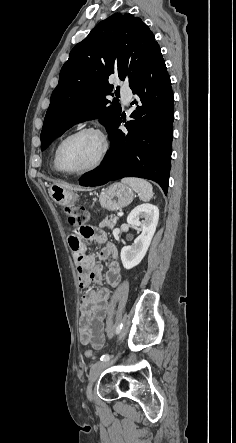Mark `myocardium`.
I'll use <instances>...</instances> for the list:
<instances>
[{"label":"myocardium","mask_w":236,"mask_h":443,"mask_svg":"<svg viewBox=\"0 0 236 443\" xmlns=\"http://www.w3.org/2000/svg\"><path fill=\"white\" fill-rule=\"evenodd\" d=\"M83 133H92L95 134L101 144V149H100V153L99 156L97 158V160L95 161L94 164H92L91 166L82 169V170H76V171H71V170H67L62 166V162H61V151L63 146L66 144V142H68L70 139H72L75 136H78L80 134ZM109 151V141L107 136L105 135V133L96 126H92V125H87V126H82L76 130H74L73 132H71L70 134H68L65 138H63V140L59 143L56 152H55V160H56V165L57 168L60 172L68 174V175H84V174H88L91 173L95 170H97L104 162L107 153Z\"/></svg>","instance_id":"1"}]
</instances>
